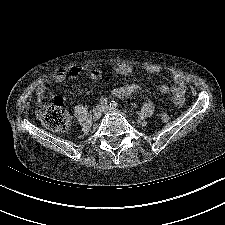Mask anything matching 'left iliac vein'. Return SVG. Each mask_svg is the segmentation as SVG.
Returning <instances> with one entry per match:
<instances>
[{
    "mask_svg": "<svg viewBox=\"0 0 225 225\" xmlns=\"http://www.w3.org/2000/svg\"><path fill=\"white\" fill-rule=\"evenodd\" d=\"M102 109H103L104 113H107V112H120V110H118L116 108H110L109 106H103Z\"/></svg>",
    "mask_w": 225,
    "mask_h": 225,
    "instance_id": "4c4485c4",
    "label": "left iliac vein"
}]
</instances>
